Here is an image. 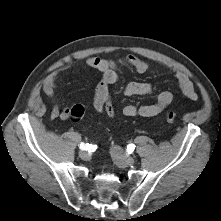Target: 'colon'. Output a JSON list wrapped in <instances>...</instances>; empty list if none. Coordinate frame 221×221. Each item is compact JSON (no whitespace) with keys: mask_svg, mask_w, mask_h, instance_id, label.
Masks as SVG:
<instances>
[{"mask_svg":"<svg viewBox=\"0 0 221 221\" xmlns=\"http://www.w3.org/2000/svg\"><path fill=\"white\" fill-rule=\"evenodd\" d=\"M104 103L105 104L103 106V109H104L105 117H107L108 120H110L113 123L118 122L119 117H118L117 111H115L116 105H115V103H113L112 96H110V95L105 96ZM84 114H85L84 106L77 104V105H74L70 109L69 119L72 122H79L83 118ZM164 118H165L166 122L173 123L177 118V114L172 110H168L165 112Z\"/></svg>","mask_w":221,"mask_h":221,"instance_id":"obj_1","label":"colon"}]
</instances>
